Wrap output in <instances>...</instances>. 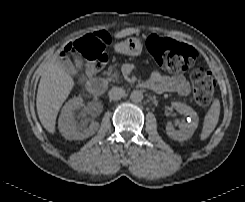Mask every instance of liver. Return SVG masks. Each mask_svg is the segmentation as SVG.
<instances>
[{
  "mask_svg": "<svg viewBox=\"0 0 245 202\" xmlns=\"http://www.w3.org/2000/svg\"><path fill=\"white\" fill-rule=\"evenodd\" d=\"M138 32L135 28H126L115 34L123 38ZM75 85L74 79L59 62L51 61L43 72L37 92L36 107L39 120L49 132H55L58 112Z\"/></svg>",
  "mask_w": 245,
  "mask_h": 202,
  "instance_id": "6515ba94",
  "label": "liver"
}]
</instances>
